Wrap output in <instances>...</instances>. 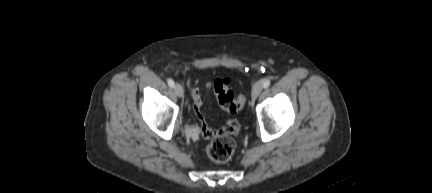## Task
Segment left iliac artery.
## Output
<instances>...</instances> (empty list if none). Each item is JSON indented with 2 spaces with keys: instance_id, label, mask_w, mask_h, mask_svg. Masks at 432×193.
Wrapping results in <instances>:
<instances>
[{
  "instance_id": "obj_1",
  "label": "left iliac artery",
  "mask_w": 432,
  "mask_h": 193,
  "mask_svg": "<svg viewBox=\"0 0 432 193\" xmlns=\"http://www.w3.org/2000/svg\"><path fill=\"white\" fill-rule=\"evenodd\" d=\"M270 84H271L270 79H266V80L264 81V83H263V87H264V88H268V87L270 86Z\"/></svg>"
}]
</instances>
